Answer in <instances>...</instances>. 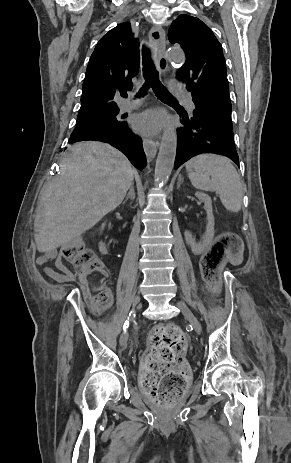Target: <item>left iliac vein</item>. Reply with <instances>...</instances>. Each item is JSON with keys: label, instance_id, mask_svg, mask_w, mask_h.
<instances>
[{"label": "left iliac vein", "instance_id": "obj_1", "mask_svg": "<svg viewBox=\"0 0 291 463\" xmlns=\"http://www.w3.org/2000/svg\"><path fill=\"white\" fill-rule=\"evenodd\" d=\"M176 305L180 308L182 314L193 327L195 332L201 333V325L196 316L193 314V312L188 308V306L183 302H177Z\"/></svg>", "mask_w": 291, "mask_h": 463}]
</instances>
